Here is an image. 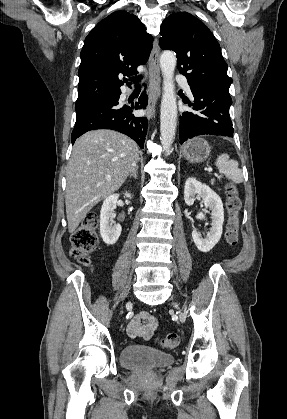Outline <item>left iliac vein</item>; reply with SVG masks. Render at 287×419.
<instances>
[{
  "label": "left iliac vein",
  "mask_w": 287,
  "mask_h": 419,
  "mask_svg": "<svg viewBox=\"0 0 287 419\" xmlns=\"http://www.w3.org/2000/svg\"><path fill=\"white\" fill-rule=\"evenodd\" d=\"M174 306H175L176 308H178V305H177V304H174Z\"/></svg>",
  "instance_id": "4c4485c4"
}]
</instances>
